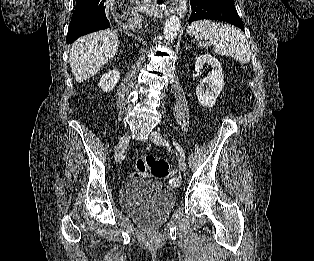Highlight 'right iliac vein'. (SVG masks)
Instances as JSON below:
<instances>
[{"mask_svg":"<svg viewBox=\"0 0 314 261\" xmlns=\"http://www.w3.org/2000/svg\"><path fill=\"white\" fill-rule=\"evenodd\" d=\"M129 139H130L129 135L125 134L119 140L116 150H115V155H114L116 162H119L121 160L122 154L129 142Z\"/></svg>","mask_w":314,"mask_h":261,"instance_id":"1","label":"right iliac vein"}]
</instances>
